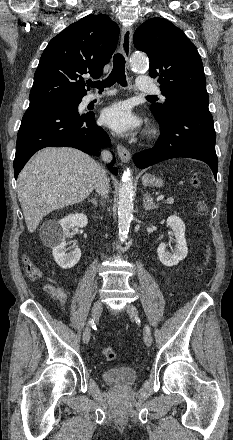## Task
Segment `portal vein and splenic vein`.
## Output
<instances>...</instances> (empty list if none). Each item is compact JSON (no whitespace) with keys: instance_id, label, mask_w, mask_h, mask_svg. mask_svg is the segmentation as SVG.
<instances>
[{"instance_id":"18ae733b","label":"portal vein and splenic vein","mask_w":233,"mask_h":440,"mask_svg":"<svg viewBox=\"0 0 233 440\" xmlns=\"http://www.w3.org/2000/svg\"><path fill=\"white\" fill-rule=\"evenodd\" d=\"M163 199H164V196H163V195H161V196H159V197L157 198L158 201L163 200Z\"/></svg>"}]
</instances>
